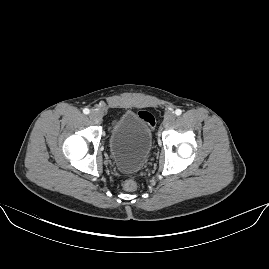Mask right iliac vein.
Returning <instances> with one entry per match:
<instances>
[{
    "label": "right iliac vein",
    "instance_id": "1",
    "mask_svg": "<svg viewBox=\"0 0 269 269\" xmlns=\"http://www.w3.org/2000/svg\"><path fill=\"white\" fill-rule=\"evenodd\" d=\"M89 118H90V120H91L93 123H95V124H99L100 121H101L100 114H99L98 112H95V111L90 112V114H89Z\"/></svg>",
    "mask_w": 269,
    "mask_h": 269
}]
</instances>
